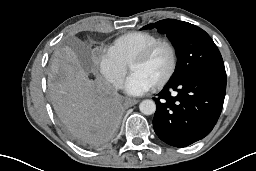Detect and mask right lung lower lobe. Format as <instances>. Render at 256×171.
<instances>
[{
  "mask_svg": "<svg viewBox=\"0 0 256 171\" xmlns=\"http://www.w3.org/2000/svg\"><path fill=\"white\" fill-rule=\"evenodd\" d=\"M54 107L67 133L82 145L106 144L120 124L118 95L103 83L89 86L84 92L72 95Z\"/></svg>",
  "mask_w": 256,
  "mask_h": 171,
  "instance_id": "right-lung-lower-lobe-1",
  "label": "right lung lower lobe"
}]
</instances>
